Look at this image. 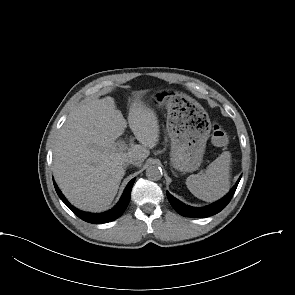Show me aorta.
Returning <instances> with one entry per match:
<instances>
[{
  "label": "aorta",
  "mask_w": 295,
  "mask_h": 295,
  "mask_svg": "<svg viewBox=\"0 0 295 295\" xmlns=\"http://www.w3.org/2000/svg\"><path fill=\"white\" fill-rule=\"evenodd\" d=\"M162 169L157 165H150L146 169V176L148 179L153 181H158L162 177Z\"/></svg>",
  "instance_id": "aorta-1"
}]
</instances>
